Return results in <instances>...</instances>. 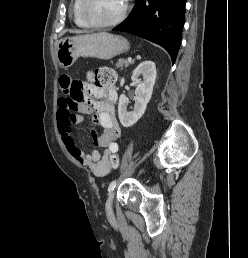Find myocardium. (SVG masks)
<instances>
[{
  "label": "myocardium",
  "instance_id": "obj_1",
  "mask_svg": "<svg viewBox=\"0 0 248 258\" xmlns=\"http://www.w3.org/2000/svg\"><path fill=\"white\" fill-rule=\"evenodd\" d=\"M128 1L129 0L123 1L122 9L117 17H115L114 19H112L110 21H106V22H95L88 17V15L86 14V11H85L86 0H80L79 10H80L81 17L83 18V20L85 21V23L88 26L94 27V28L111 27V26H115V25L119 24L120 22H122L124 20L126 14H127V11H128V7H129Z\"/></svg>",
  "mask_w": 248,
  "mask_h": 258
}]
</instances>
